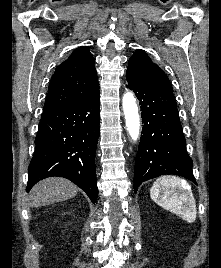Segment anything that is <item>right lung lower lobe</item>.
I'll list each match as a JSON object with an SVG mask.
<instances>
[{"instance_id": "obj_1", "label": "right lung lower lobe", "mask_w": 221, "mask_h": 268, "mask_svg": "<svg viewBox=\"0 0 221 268\" xmlns=\"http://www.w3.org/2000/svg\"><path fill=\"white\" fill-rule=\"evenodd\" d=\"M100 92L76 104L43 110L28 168V192L51 176L67 178L95 203V151L99 137Z\"/></svg>"}]
</instances>
